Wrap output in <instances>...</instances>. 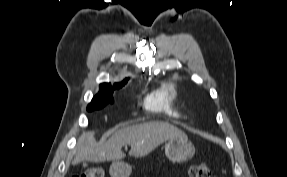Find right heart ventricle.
Listing matches in <instances>:
<instances>
[{"label":"right heart ventricle","mask_w":287,"mask_h":177,"mask_svg":"<svg viewBox=\"0 0 287 177\" xmlns=\"http://www.w3.org/2000/svg\"><path fill=\"white\" fill-rule=\"evenodd\" d=\"M145 108L153 113L179 118L184 116V97L175 82L161 85L145 99Z\"/></svg>","instance_id":"obj_1"}]
</instances>
